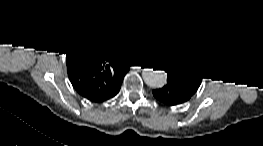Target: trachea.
<instances>
[{
	"mask_svg": "<svg viewBox=\"0 0 263 146\" xmlns=\"http://www.w3.org/2000/svg\"><path fill=\"white\" fill-rule=\"evenodd\" d=\"M117 59L122 63H129L130 65L138 63L136 56L130 51H121L117 54Z\"/></svg>",
	"mask_w": 263,
	"mask_h": 146,
	"instance_id": "3493384b",
	"label": "trachea"
}]
</instances>
